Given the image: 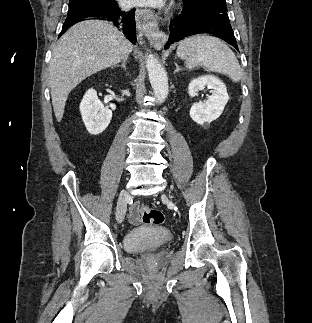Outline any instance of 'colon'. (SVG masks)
<instances>
[{"mask_svg": "<svg viewBox=\"0 0 312 323\" xmlns=\"http://www.w3.org/2000/svg\"><path fill=\"white\" fill-rule=\"evenodd\" d=\"M142 221L146 224L161 225L164 222V214L157 208H152L147 205L139 207Z\"/></svg>", "mask_w": 312, "mask_h": 323, "instance_id": "1", "label": "colon"}]
</instances>
